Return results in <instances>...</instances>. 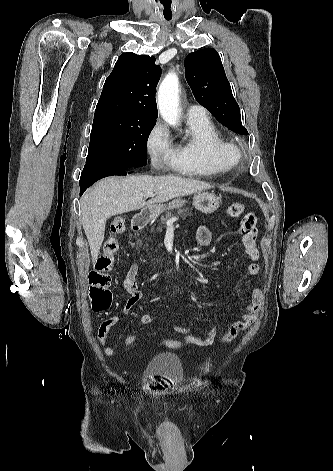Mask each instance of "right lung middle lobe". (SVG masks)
Returning a JSON list of instances; mask_svg holds the SVG:
<instances>
[{"label": "right lung middle lobe", "mask_w": 333, "mask_h": 471, "mask_svg": "<svg viewBox=\"0 0 333 471\" xmlns=\"http://www.w3.org/2000/svg\"><path fill=\"white\" fill-rule=\"evenodd\" d=\"M156 120L94 117L85 167L133 168L147 164V139Z\"/></svg>", "instance_id": "right-lung-middle-lobe-1"}]
</instances>
